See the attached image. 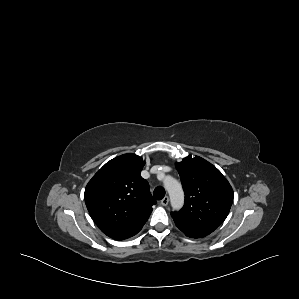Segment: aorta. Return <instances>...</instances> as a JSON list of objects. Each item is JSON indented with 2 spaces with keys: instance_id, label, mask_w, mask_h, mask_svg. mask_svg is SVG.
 Wrapping results in <instances>:
<instances>
[{
  "instance_id": "obj_1",
  "label": "aorta",
  "mask_w": 299,
  "mask_h": 299,
  "mask_svg": "<svg viewBox=\"0 0 299 299\" xmlns=\"http://www.w3.org/2000/svg\"><path fill=\"white\" fill-rule=\"evenodd\" d=\"M164 186L167 190L171 206L174 210H179L184 204V191L181 184L172 177H166Z\"/></svg>"
}]
</instances>
